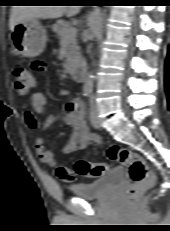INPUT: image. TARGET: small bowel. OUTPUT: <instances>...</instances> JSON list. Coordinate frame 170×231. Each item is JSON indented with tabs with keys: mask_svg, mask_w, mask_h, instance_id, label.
<instances>
[{
	"mask_svg": "<svg viewBox=\"0 0 170 231\" xmlns=\"http://www.w3.org/2000/svg\"><path fill=\"white\" fill-rule=\"evenodd\" d=\"M33 73H42L46 70V63L43 60L33 61L30 65ZM33 111H26L24 120L28 127L35 129L38 126L36 115H44L49 101L42 93H34L30 97ZM84 105L80 98H74L64 104L60 110L48 115L45 119V127L56 122H64L72 129L71 135L67 143L62 148L63 154L75 153L85 149L91 140H97V136L90 132L83 116ZM35 149L39 159L49 166L56 164L55 156L47 150L45 141L42 137L35 139Z\"/></svg>",
	"mask_w": 170,
	"mask_h": 231,
	"instance_id": "obj_1",
	"label": "small bowel"
}]
</instances>
